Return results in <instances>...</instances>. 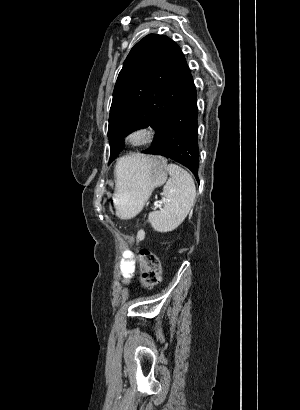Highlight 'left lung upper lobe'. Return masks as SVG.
<instances>
[{"mask_svg":"<svg viewBox=\"0 0 300 410\" xmlns=\"http://www.w3.org/2000/svg\"><path fill=\"white\" fill-rule=\"evenodd\" d=\"M191 78L180 47L164 35L149 34L130 51L118 75L109 114V164L129 133L151 126L180 99Z\"/></svg>","mask_w":300,"mask_h":410,"instance_id":"1","label":"left lung upper lobe"}]
</instances>
